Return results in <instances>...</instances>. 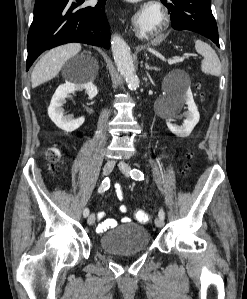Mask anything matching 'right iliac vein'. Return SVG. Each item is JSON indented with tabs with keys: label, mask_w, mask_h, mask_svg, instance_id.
<instances>
[{
	"label": "right iliac vein",
	"mask_w": 247,
	"mask_h": 299,
	"mask_svg": "<svg viewBox=\"0 0 247 299\" xmlns=\"http://www.w3.org/2000/svg\"><path fill=\"white\" fill-rule=\"evenodd\" d=\"M115 166V161L114 160H108L104 167H103V175H108L111 173V171L113 170ZM95 214H90L88 219H87V223L88 225H93L95 223Z\"/></svg>",
	"instance_id": "63e3f726"
}]
</instances>
